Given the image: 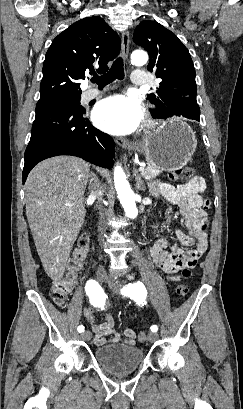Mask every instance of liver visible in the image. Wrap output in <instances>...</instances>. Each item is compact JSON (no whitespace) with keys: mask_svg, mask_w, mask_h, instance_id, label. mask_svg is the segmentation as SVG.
<instances>
[{"mask_svg":"<svg viewBox=\"0 0 243 409\" xmlns=\"http://www.w3.org/2000/svg\"><path fill=\"white\" fill-rule=\"evenodd\" d=\"M90 167L72 156L38 163L25 183L26 216L46 274L60 281L85 219Z\"/></svg>","mask_w":243,"mask_h":409,"instance_id":"6515ba94","label":"liver"}]
</instances>
